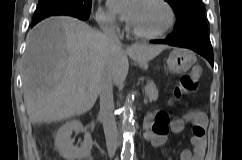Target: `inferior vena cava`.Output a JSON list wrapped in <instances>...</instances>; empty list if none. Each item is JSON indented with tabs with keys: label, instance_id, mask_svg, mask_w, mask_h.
<instances>
[{
	"label": "inferior vena cava",
	"instance_id": "obj_1",
	"mask_svg": "<svg viewBox=\"0 0 242 160\" xmlns=\"http://www.w3.org/2000/svg\"><path fill=\"white\" fill-rule=\"evenodd\" d=\"M101 29L104 36L112 44H119L115 26L111 23L102 24ZM108 72H104L99 86L100 111L99 118L103 124L108 155L113 158L118 146V131L114 116L113 87L112 81L116 79L118 63H111Z\"/></svg>",
	"mask_w": 242,
	"mask_h": 160
}]
</instances>
